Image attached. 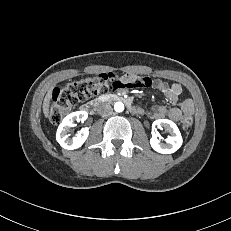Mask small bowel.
I'll return each instance as SVG.
<instances>
[{"label":"small bowel","mask_w":231,"mask_h":231,"mask_svg":"<svg viewBox=\"0 0 231 231\" xmlns=\"http://www.w3.org/2000/svg\"><path fill=\"white\" fill-rule=\"evenodd\" d=\"M125 83V84H124ZM159 91H161L166 97L167 101L171 105H176L182 94V87L177 84H168L164 81L157 79L154 82L148 77L135 76L133 74H125L121 79L116 81V89H121L124 87L136 89V88H148L150 85ZM139 112L142 110L139 109ZM194 111V103L191 99L183 100L179 106H173L168 108L165 105H154L149 113L152 119H160L168 116L173 121H178L181 119L183 114H192Z\"/></svg>","instance_id":"small-bowel-1"}]
</instances>
